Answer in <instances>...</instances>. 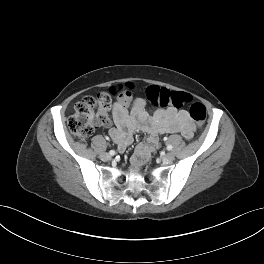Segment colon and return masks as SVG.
Segmentation results:
<instances>
[{"mask_svg":"<svg viewBox=\"0 0 264 264\" xmlns=\"http://www.w3.org/2000/svg\"><path fill=\"white\" fill-rule=\"evenodd\" d=\"M111 94L120 101H126L131 97L132 87L129 84H120L111 89ZM145 94L154 106L159 107L179 109L191 102V96L185 92L171 91L156 85L148 86ZM111 102V95L106 92L83 97L68 120L70 132L81 140L88 139L97 127L108 122ZM189 114L197 126L202 128L207 114L205 106L195 102L191 104Z\"/></svg>","mask_w":264,"mask_h":264,"instance_id":"obj_1","label":"colon"}]
</instances>
